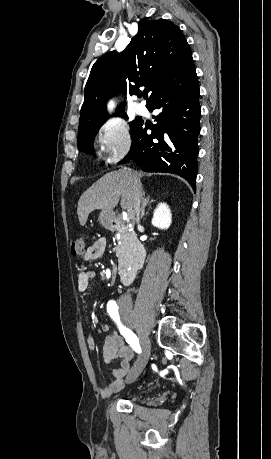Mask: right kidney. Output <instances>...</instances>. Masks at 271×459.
<instances>
[{"mask_svg":"<svg viewBox=\"0 0 271 459\" xmlns=\"http://www.w3.org/2000/svg\"><path fill=\"white\" fill-rule=\"evenodd\" d=\"M171 224V212L167 204H158L154 210L152 226L160 229H167Z\"/></svg>","mask_w":271,"mask_h":459,"instance_id":"ca27d5eb","label":"right kidney"}]
</instances>
